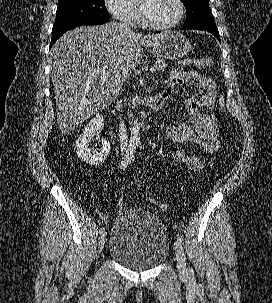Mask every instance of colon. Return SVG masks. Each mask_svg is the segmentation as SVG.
<instances>
[{"mask_svg":"<svg viewBox=\"0 0 272 303\" xmlns=\"http://www.w3.org/2000/svg\"><path fill=\"white\" fill-rule=\"evenodd\" d=\"M179 66L181 67H198V68H204L211 65V59L209 57H202V58H196V57H185L178 61ZM219 109L222 112H225V101L223 97L219 98ZM151 202L158 205L160 208H165L164 205L158 203L154 199H151ZM118 206L120 208L124 205V200L122 197L118 198Z\"/></svg>","mask_w":272,"mask_h":303,"instance_id":"obj_1","label":"colon"}]
</instances>
